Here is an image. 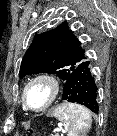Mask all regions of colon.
Returning <instances> with one entry per match:
<instances>
[{
	"label": "colon",
	"instance_id": "5ec220e1",
	"mask_svg": "<svg viewBox=\"0 0 117 136\" xmlns=\"http://www.w3.org/2000/svg\"><path fill=\"white\" fill-rule=\"evenodd\" d=\"M28 135H33L32 133H28Z\"/></svg>",
	"mask_w": 117,
	"mask_h": 136
}]
</instances>
